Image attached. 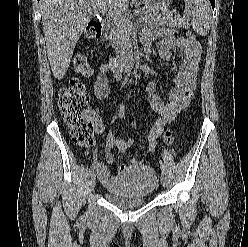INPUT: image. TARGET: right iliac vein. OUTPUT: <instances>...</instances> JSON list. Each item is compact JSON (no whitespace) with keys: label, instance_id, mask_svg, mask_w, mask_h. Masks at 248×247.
Masks as SVG:
<instances>
[{"label":"right iliac vein","instance_id":"63e3f726","mask_svg":"<svg viewBox=\"0 0 248 247\" xmlns=\"http://www.w3.org/2000/svg\"><path fill=\"white\" fill-rule=\"evenodd\" d=\"M95 186H96V175H95V173H92L90 176V180H89L90 191H93Z\"/></svg>","mask_w":248,"mask_h":247}]
</instances>
